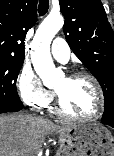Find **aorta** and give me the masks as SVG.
Instances as JSON below:
<instances>
[{
    "label": "aorta",
    "instance_id": "1",
    "mask_svg": "<svg viewBox=\"0 0 114 156\" xmlns=\"http://www.w3.org/2000/svg\"><path fill=\"white\" fill-rule=\"evenodd\" d=\"M64 23L61 15H49L40 24L34 39L31 51L33 67L43 83L48 86L53 84L61 71L57 70L53 64L50 54V44L57 32Z\"/></svg>",
    "mask_w": 114,
    "mask_h": 156
}]
</instances>
